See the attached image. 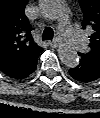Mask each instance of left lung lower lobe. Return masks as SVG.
<instances>
[{"label": "left lung lower lobe", "instance_id": "1", "mask_svg": "<svg viewBox=\"0 0 100 118\" xmlns=\"http://www.w3.org/2000/svg\"><path fill=\"white\" fill-rule=\"evenodd\" d=\"M70 75L80 82H91L100 78V67L81 57L79 64L69 70Z\"/></svg>", "mask_w": 100, "mask_h": 118}]
</instances>
